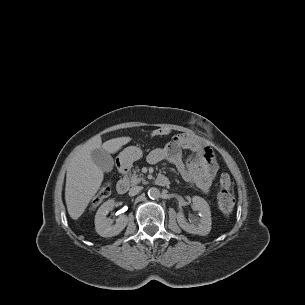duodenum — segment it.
Here are the masks:
<instances>
[{"instance_id":"duodenum-1","label":"duodenum","mask_w":305,"mask_h":305,"mask_svg":"<svg viewBox=\"0 0 305 305\" xmlns=\"http://www.w3.org/2000/svg\"><path fill=\"white\" fill-rule=\"evenodd\" d=\"M119 173L121 176H125L127 173V168L124 165L119 166ZM156 184L158 186H167L169 185V180L164 175H159L156 179ZM117 191L119 194H124L128 191L129 188V182L127 179L122 178L117 183Z\"/></svg>"}]
</instances>
